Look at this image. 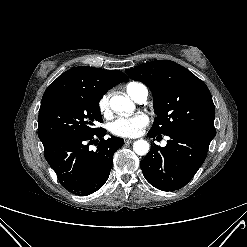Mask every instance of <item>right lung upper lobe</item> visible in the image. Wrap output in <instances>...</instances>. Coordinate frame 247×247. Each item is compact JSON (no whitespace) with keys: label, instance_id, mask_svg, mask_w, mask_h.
Listing matches in <instances>:
<instances>
[{"label":"right lung upper lobe","instance_id":"obj_1","mask_svg":"<svg viewBox=\"0 0 247 247\" xmlns=\"http://www.w3.org/2000/svg\"><path fill=\"white\" fill-rule=\"evenodd\" d=\"M127 80V76L119 70H104L89 66L71 68L46 89L41 104L62 95L80 91H96L105 94L115 85Z\"/></svg>","mask_w":247,"mask_h":247}]
</instances>
